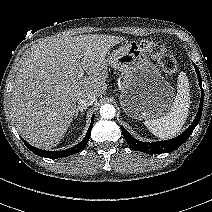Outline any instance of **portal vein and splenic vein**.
<instances>
[{"mask_svg": "<svg viewBox=\"0 0 212 212\" xmlns=\"http://www.w3.org/2000/svg\"><path fill=\"white\" fill-rule=\"evenodd\" d=\"M83 75H84V71L83 70H80L79 73H78V76L79 77H82Z\"/></svg>", "mask_w": 212, "mask_h": 212, "instance_id": "18ae733b", "label": "portal vein and splenic vein"}]
</instances>
